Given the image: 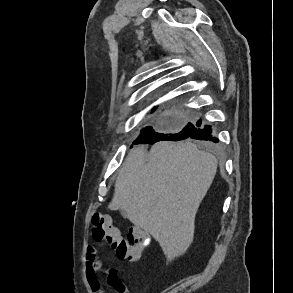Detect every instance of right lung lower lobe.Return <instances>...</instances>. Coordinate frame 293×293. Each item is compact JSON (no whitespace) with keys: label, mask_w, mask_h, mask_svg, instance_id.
Returning <instances> with one entry per match:
<instances>
[{"label":"right lung lower lobe","mask_w":293,"mask_h":293,"mask_svg":"<svg viewBox=\"0 0 293 293\" xmlns=\"http://www.w3.org/2000/svg\"><path fill=\"white\" fill-rule=\"evenodd\" d=\"M194 138L198 140H210L213 142H217V139L212 138L210 126L205 125L204 128L201 127V122L198 121L195 124L188 123L186 127L183 128L182 131L178 133H158L153 130L151 126L146 127L141 131L140 136L134 142L137 143H146L153 144L155 142L161 140H171V141H179L186 138Z\"/></svg>","instance_id":"1"}]
</instances>
